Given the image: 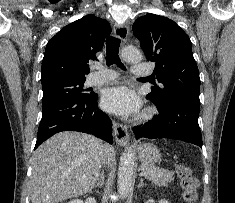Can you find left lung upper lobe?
Here are the masks:
<instances>
[{"mask_svg":"<svg viewBox=\"0 0 235 203\" xmlns=\"http://www.w3.org/2000/svg\"><path fill=\"white\" fill-rule=\"evenodd\" d=\"M133 34L140 40L148 61L163 88H151L147 98L163 104L178 95L199 98L200 78L188 35L171 19L155 14L139 17Z\"/></svg>","mask_w":235,"mask_h":203,"instance_id":"5c2ea615","label":"left lung upper lobe"}]
</instances>
